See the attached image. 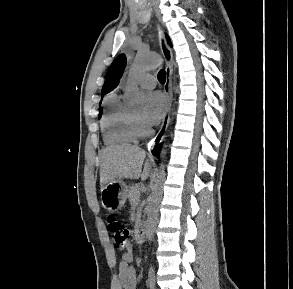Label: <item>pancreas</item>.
<instances>
[{
    "mask_svg": "<svg viewBox=\"0 0 293 289\" xmlns=\"http://www.w3.org/2000/svg\"><path fill=\"white\" fill-rule=\"evenodd\" d=\"M140 191H141V187L139 184H136V185L130 187L129 192H128V198H129L131 205L134 206L138 203Z\"/></svg>",
    "mask_w": 293,
    "mask_h": 289,
    "instance_id": "obj_1",
    "label": "pancreas"
}]
</instances>
